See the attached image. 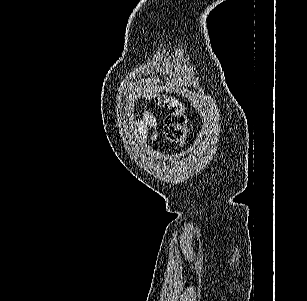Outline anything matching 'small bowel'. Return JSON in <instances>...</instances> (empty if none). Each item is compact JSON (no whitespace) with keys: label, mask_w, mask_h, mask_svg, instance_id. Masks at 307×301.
I'll use <instances>...</instances> for the list:
<instances>
[{"label":"small bowel","mask_w":307,"mask_h":301,"mask_svg":"<svg viewBox=\"0 0 307 301\" xmlns=\"http://www.w3.org/2000/svg\"><path fill=\"white\" fill-rule=\"evenodd\" d=\"M138 130L142 138L154 141L158 137L157 119L153 113L145 111L139 120Z\"/></svg>","instance_id":"small-bowel-1"}]
</instances>
